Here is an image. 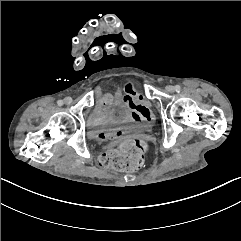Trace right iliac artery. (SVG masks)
I'll use <instances>...</instances> for the list:
<instances>
[{"mask_svg":"<svg viewBox=\"0 0 241 241\" xmlns=\"http://www.w3.org/2000/svg\"><path fill=\"white\" fill-rule=\"evenodd\" d=\"M57 104H58L59 106H62V105H63V101H62V100H58V101H57Z\"/></svg>","mask_w":241,"mask_h":241,"instance_id":"right-iliac-artery-1","label":"right iliac artery"}]
</instances>
